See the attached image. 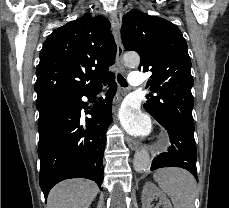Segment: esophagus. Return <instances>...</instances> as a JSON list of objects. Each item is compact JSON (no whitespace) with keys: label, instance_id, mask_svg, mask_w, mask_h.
Listing matches in <instances>:
<instances>
[{"label":"esophagus","instance_id":"obj_1","mask_svg":"<svg viewBox=\"0 0 229 208\" xmlns=\"http://www.w3.org/2000/svg\"><path fill=\"white\" fill-rule=\"evenodd\" d=\"M111 24L115 33L116 38V45H117V55H116V62L117 65L121 71V73H125V65L123 61V43L121 40V34H120V23L118 20V17L115 12L111 14ZM125 141L127 142L129 148L131 150H136L138 147V143L131 137H126Z\"/></svg>","mask_w":229,"mask_h":208}]
</instances>
